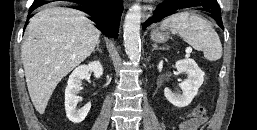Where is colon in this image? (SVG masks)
Here are the masks:
<instances>
[{
  "mask_svg": "<svg viewBox=\"0 0 257 130\" xmlns=\"http://www.w3.org/2000/svg\"><path fill=\"white\" fill-rule=\"evenodd\" d=\"M207 113V109L204 105H200L194 108L191 113V117L194 120H202Z\"/></svg>",
  "mask_w": 257,
  "mask_h": 130,
  "instance_id": "1",
  "label": "colon"
}]
</instances>
